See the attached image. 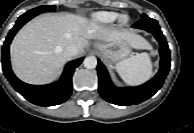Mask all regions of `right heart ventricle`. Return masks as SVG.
<instances>
[{
  "label": "right heart ventricle",
  "mask_w": 194,
  "mask_h": 133,
  "mask_svg": "<svg viewBox=\"0 0 194 133\" xmlns=\"http://www.w3.org/2000/svg\"><path fill=\"white\" fill-rule=\"evenodd\" d=\"M94 20L100 24H113L120 18V14L113 11H101L97 12L93 16Z\"/></svg>",
  "instance_id": "1"
}]
</instances>
